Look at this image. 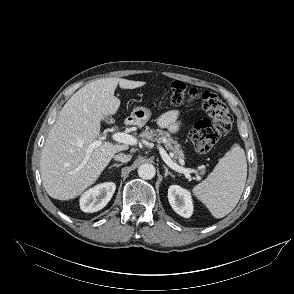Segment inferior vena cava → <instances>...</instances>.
<instances>
[{
    "instance_id": "602c4592",
    "label": "inferior vena cava",
    "mask_w": 294,
    "mask_h": 294,
    "mask_svg": "<svg viewBox=\"0 0 294 294\" xmlns=\"http://www.w3.org/2000/svg\"><path fill=\"white\" fill-rule=\"evenodd\" d=\"M131 158H132V155L123 154V153H119V154L114 156V159L116 161H119V162H122V163H126V162L130 161Z\"/></svg>"
}]
</instances>
